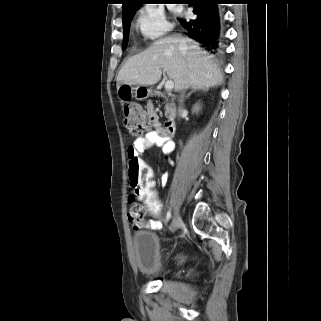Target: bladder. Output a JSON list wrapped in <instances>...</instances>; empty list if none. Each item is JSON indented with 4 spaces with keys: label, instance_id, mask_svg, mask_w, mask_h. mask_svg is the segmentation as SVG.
Instances as JSON below:
<instances>
[{
    "label": "bladder",
    "instance_id": "1",
    "mask_svg": "<svg viewBox=\"0 0 321 321\" xmlns=\"http://www.w3.org/2000/svg\"><path fill=\"white\" fill-rule=\"evenodd\" d=\"M131 241L138 269L145 275L159 276L163 270L159 236L151 231H138Z\"/></svg>",
    "mask_w": 321,
    "mask_h": 321
}]
</instances>
